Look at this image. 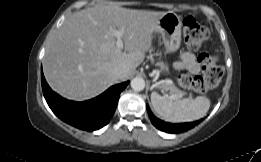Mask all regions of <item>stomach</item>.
Listing matches in <instances>:
<instances>
[{
    "mask_svg": "<svg viewBox=\"0 0 261 162\" xmlns=\"http://www.w3.org/2000/svg\"><path fill=\"white\" fill-rule=\"evenodd\" d=\"M181 17L176 13L167 12L154 24V32L162 36L168 53L176 52L181 43Z\"/></svg>",
    "mask_w": 261,
    "mask_h": 162,
    "instance_id": "1",
    "label": "stomach"
}]
</instances>
